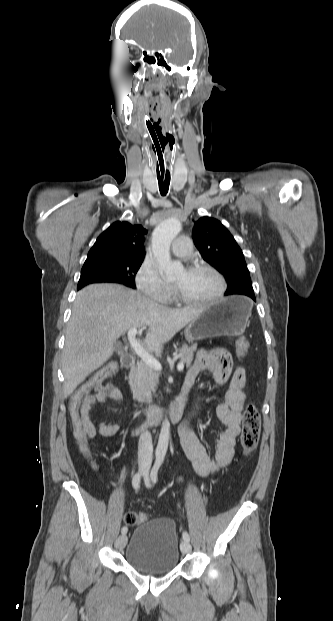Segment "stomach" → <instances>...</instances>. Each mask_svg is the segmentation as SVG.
I'll return each instance as SVG.
<instances>
[{"instance_id":"0dacf381","label":"stomach","mask_w":333,"mask_h":621,"mask_svg":"<svg viewBox=\"0 0 333 621\" xmlns=\"http://www.w3.org/2000/svg\"><path fill=\"white\" fill-rule=\"evenodd\" d=\"M252 304L245 297L234 296L205 306L199 317L188 325L189 342L221 335H236L246 326Z\"/></svg>"}]
</instances>
